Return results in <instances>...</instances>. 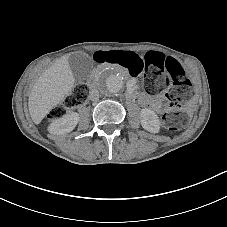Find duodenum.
I'll use <instances>...</instances> for the list:
<instances>
[{
    "label": "duodenum",
    "mask_w": 227,
    "mask_h": 227,
    "mask_svg": "<svg viewBox=\"0 0 227 227\" xmlns=\"http://www.w3.org/2000/svg\"><path fill=\"white\" fill-rule=\"evenodd\" d=\"M129 85H130V88H129V90H128V95H129L130 97H135V98H137V99H138V102H139L141 105L145 106V105H146V96H145V95L138 96V94L135 93V91H134V89H133V87H132L133 83L129 82Z\"/></svg>",
    "instance_id": "410a0bca"
}]
</instances>
